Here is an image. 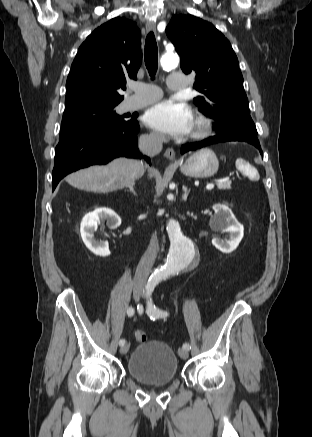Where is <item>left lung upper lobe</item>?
Returning <instances> with one entry per match:
<instances>
[{
  "label": "left lung upper lobe",
  "instance_id": "1",
  "mask_svg": "<svg viewBox=\"0 0 312 437\" xmlns=\"http://www.w3.org/2000/svg\"><path fill=\"white\" fill-rule=\"evenodd\" d=\"M180 55L184 73H195L193 99L216 121V129L238 141L259 142L249 114L238 59L225 36L211 23L192 15H175L166 28Z\"/></svg>",
  "mask_w": 312,
  "mask_h": 437
}]
</instances>
